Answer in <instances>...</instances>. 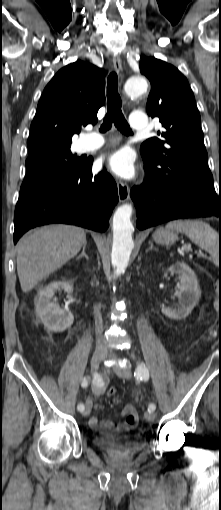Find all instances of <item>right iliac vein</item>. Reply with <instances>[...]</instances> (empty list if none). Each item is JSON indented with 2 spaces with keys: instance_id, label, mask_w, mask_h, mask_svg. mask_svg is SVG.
<instances>
[{
  "instance_id": "right-iliac-vein-1",
  "label": "right iliac vein",
  "mask_w": 221,
  "mask_h": 510,
  "mask_svg": "<svg viewBox=\"0 0 221 510\" xmlns=\"http://www.w3.org/2000/svg\"><path fill=\"white\" fill-rule=\"evenodd\" d=\"M106 354L103 352H95L91 358V371L92 373H96L100 363L105 359ZM92 409V401L91 399H87L85 404V409L83 411L84 416H88Z\"/></svg>"
}]
</instances>
